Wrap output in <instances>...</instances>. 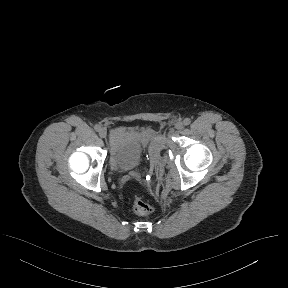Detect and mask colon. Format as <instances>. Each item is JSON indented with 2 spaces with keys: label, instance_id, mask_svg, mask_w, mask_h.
I'll use <instances>...</instances> for the list:
<instances>
[{
  "label": "colon",
  "instance_id": "5ec220e1",
  "mask_svg": "<svg viewBox=\"0 0 288 288\" xmlns=\"http://www.w3.org/2000/svg\"><path fill=\"white\" fill-rule=\"evenodd\" d=\"M133 210L138 215H147L152 212V206L140 197H135L133 200Z\"/></svg>",
  "mask_w": 288,
  "mask_h": 288
}]
</instances>
